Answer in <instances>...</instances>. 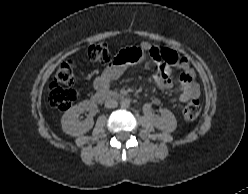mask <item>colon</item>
<instances>
[{"instance_id":"5ec220e1","label":"colon","mask_w":248,"mask_h":194,"mask_svg":"<svg viewBox=\"0 0 248 194\" xmlns=\"http://www.w3.org/2000/svg\"><path fill=\"white\" fill-rule=\"evenodd\" d=\"M140 51L130 50L124 57L125 61H135ZM150 55L158 63V65L165 62L173 63V51L167 48H154ZM89 58L101 64H109L112 61L108 45L105 42H99L92 45L88 50ZM75 63L73 60H66L63 62L56 74L54 80L50 83L47 94V101L49 105L58 110H67L72 107L79 99V94L76 89L65 87L74 81ZM201 102L199 99L190 100L183 109V116L187 121H194L201 112Z\"/></svg>"}]
</instances>
